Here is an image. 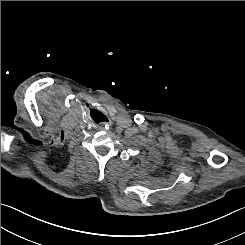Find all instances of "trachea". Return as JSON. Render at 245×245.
I'll return each mask as SVG.
<instances>
[{
	"label": "trachea",
	"instance_id": "obj_1",
	"mask_svg": "<svg viewBox=\"0 0 245 245\" xmlns=\"http://www.w3.org/2000/svg\"><path fill=\"white\" fill-rule=\"evenodd\" d=\"M108 119L104 116V115H101L99 118H98V120H97V122H103V121H107Z\"/></svg>",
	"mask_w": 245,
	"mask_h": 245
}]
</instances>
